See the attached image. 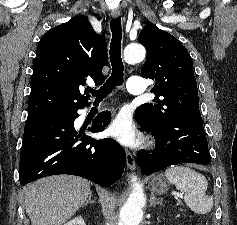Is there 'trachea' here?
<instances>
[{"mask_svg":"<svg viewBox=\"0 0 237 225\" xmlns=\"http://www.w3.org/2000/svg\"><path fill=\"white\" fill-rule=\"evenodd\" d=\"M112 40L110 43V61L112 65L111 76L99 90H90V93L96 97V100L104 99L116 86L123 84L124 65L121 58V17L112 19L110 22Z\"/></svg>","mask_w":237,"mask_h":225,"instance_id":"obj_1","label":"trachea"}]
</instances>
